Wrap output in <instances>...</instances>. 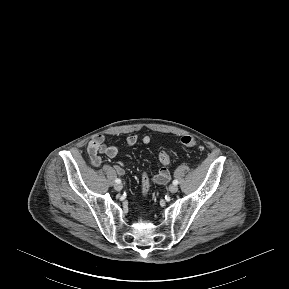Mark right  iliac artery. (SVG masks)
<instances>
[{
    "label": "right iliac artery",
    "mask_w": 289,
    "mask_h": 289,
    "mask_svg": "<svg viewBox=\"0 0 289 289\" xmlns=\"http://www.w3.org/2000/svg\"><path fill=\"white\" fill-rule=\"evenodd\" d=\"M115 182H116V183H121V180L118 179V178H116V179H115Z\"/></svg>",
    "instance_id": "obj_1"
}]
</instances>
